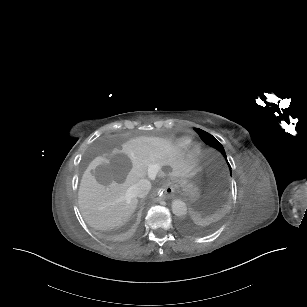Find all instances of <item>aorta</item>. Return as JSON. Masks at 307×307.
I'll return each mask as SVG.
<instances>
[{
	"instance_id": "762f6f07",
	"label": "aorta",
	"mask_w": 307,
	"mask_h": 307,
	"mask_svg": "<svg viewBox=\"0 0 307 307\" xmlns=\"http://www.w3.org/2000/svg\"><path fill=\"white\" fill-rule=\"evenodd\" d=\"M172 212L176 216H182L187 213V206L182 200L176 199L172 202Z\"/></svg>"
}]
</instances>
